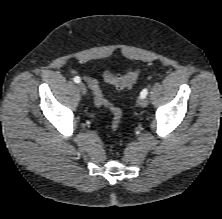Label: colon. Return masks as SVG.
Wrapping results in <instances>:
<instances>
[{"label":"colon","mask_w":222,"mask_h":219,"mask_svg":"<svg viewBox=\"0 0 222 219\" xmlns=\"http://www.w3.org/2000/svg\"><path fill=\"white\" fill-rule=\"evenodd\" d=\"M139 76V70L137 68H133L129 70L125 75H116L109 71H103L102 77L103 79L112 84L117 89H124L131 87L137 80ZM90 88L94 95V101L97 106L108 107L112 114L111 128L113 131L117 130L120 122H121V109L110 103L105 96L103 95L98 84H91Z\"/></svg>","instance_id":"5ec220e1"}]
</instances>
